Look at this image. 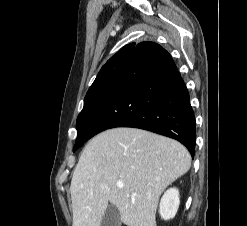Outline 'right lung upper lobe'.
<instances>
[{
  "label": "right lung upper lobe",
  "instance_id": "1",
  "mask_svg": "<svg viewBox=\"0 0 247 226\" xmlns=\"http://www.w3.org/2000/svg\"><path fill=\"white\" fill-rule=\"evenodd\" d=\"M135 43H132V44H128L126 46H124L122 49H120L113 57H111L107 63L101 68L100 72L98 73L96 79L101 76L105 70L113 63L115 62L116 60H118L119 58H121L122 56H129L131 51L134 49L135 47ZM129 58V57H128ZM95 79V80H96Z\"/></svg>",
  "mask_w": 247,
  "mask_h": 226
}]
</instances>
